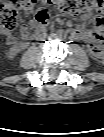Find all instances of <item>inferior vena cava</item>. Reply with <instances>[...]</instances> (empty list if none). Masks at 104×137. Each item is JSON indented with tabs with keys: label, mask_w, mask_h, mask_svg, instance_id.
<instances>
[{
	"label": "inferior vena cava",
	"mask_w": 104,
	"mask_h": 137,
	"mask_svg": "<svg viewBox=\"0 0 104 137\" xmlns=\"http://www.w3.org/2000/svg\"><path fill=\"white\" fill-rule=\"evenodd\" d=\"M38 41H39V44H40V45H43V46H44V45H47V44H48V41H49V40H48V37H47V36H44V35H43V36H40V37H39V40H38Z\"/></svg>",
	"instance_id": "obj_1"
}]
</instances>
